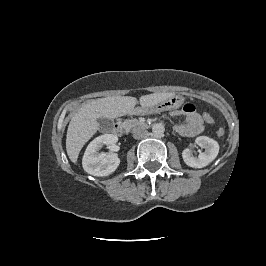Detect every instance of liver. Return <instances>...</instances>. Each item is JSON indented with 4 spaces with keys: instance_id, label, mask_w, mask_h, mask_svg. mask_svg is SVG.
Segmentation results:
<instances>
[{
    "instance_id": "obj_1",
    "label": "liver",
    "mask_w": 266,
    "mask_h": 266,
    "mask_svg": "<svg viewBox=\"0 0 266 266\" xmlns=\"http://www.w3.org/2000/svg\"><path fill=\"white\" fill-rule=\"evenodd\" d=\"M174 96V93H153L141 96V106H151ZM137 99L131 96H112L90 100L71 118L67 129L66 151L69 159L76 163L85 143L99 128L98 118L115 119L131 114Z\"/></svg>"
}]
</instances>
